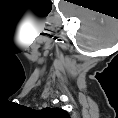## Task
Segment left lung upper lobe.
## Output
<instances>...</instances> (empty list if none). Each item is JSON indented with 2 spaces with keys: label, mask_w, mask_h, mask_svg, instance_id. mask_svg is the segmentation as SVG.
<instances>
[{
  "label": "left lung upper lobe",
  "mask_w": 118,
  "mask_h": 118,
  "mask_svg": "<svg viewBox=\"0 0 118 118\" xmlns=\"http://www.w3.org/2000/svg\"><path fill=\"white\" fill-rule=\"evenodd\" d=\"M45 111L51 115H56L58 117L67 116V112L64 110L46 108Z\"/></svg>",
  "instance_id": "obj_1"
}]
</instances>
